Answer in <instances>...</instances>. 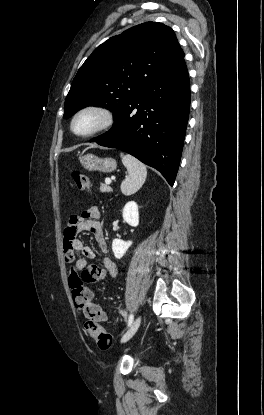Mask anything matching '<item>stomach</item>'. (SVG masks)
I'll list each match as a JSON object with an SVG mask.
<instances>
[{
    "mask_svg": "<svg viewBox=\"0 0 264 415\" xmlns=\"http://www.w3.org/2000/svg\"><path fill=\"white\" fill-rule=\"evenodd\" d=\"M83 167L89 171L112 172L116 169L117 163L113 158H99L93 154H86L80 157Z\"/></svg>",
    "mask_w": 264,
    "mask_h": 415,
    "instance_id": "0dacf381",
    "label": "stomach"
}]
</instances>
